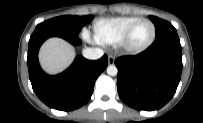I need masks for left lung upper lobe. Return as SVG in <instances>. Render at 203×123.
<instances>
[{"instance_id": "left-lung-upper-lobe-1", "label": "left lung upper lobe", "mask_w": 203, "mask_h": 123, "mask_svg": "<svg viewBox=\"0 0 203 123\" xmlns=\"http://www.w3.org/2000/svg\"><path fill=\"white\" fill-rule=\"evenodd\" d=\"M149 18L155 25L156 38H159L167 33L176 32V29L172 26L171 23L164 21L162 19H159L157 17H154V16H150Z\"/></svg>"}]
</instances>
